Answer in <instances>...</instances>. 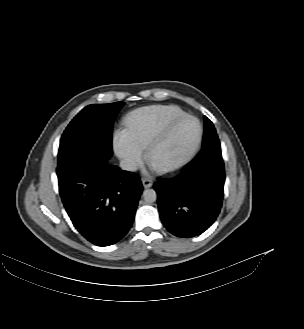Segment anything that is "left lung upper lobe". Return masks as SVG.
Here are the masks:
<instances>
[{
  "label": "left lung upper lobe",
  "mask_w": 304,
  "mask_h": 329,
  "mask_svg": "<svg viewBox=\"0 0 304 329\" xmlns=\"http://www.w3.org/2000/svg\"><path fill=\"white\" fill-rule=\"evenodd\" d=\"M217 135L213 123L204 116V138L203 145L208 142L213 136Z\"/></svg>",
  "instance_id": "1"
}]
</instances>
